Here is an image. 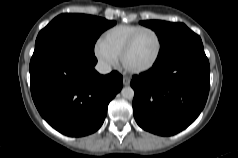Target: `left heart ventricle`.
Segmentation results:
<instances>
[{
	"label": "left heart ventricle",
	"mask_w": 238,
	"mask_h": 158,
	"mask_svg": "<svg viewBox=\"0 0 238 158\" xmlns=\"http://www.w3.org/2000/svg\"><path fill=\"white\" fill-rule=\"evenodd\" d=\"M158 49L156 37L150 32L142 33L136 40L126 58L129 67L140 68L149 64L155 57Z\"/></svg>",
	"instance_id": "obj_1"
}]
</instances>
